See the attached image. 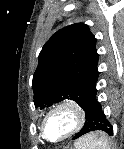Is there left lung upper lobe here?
Returning a JSON list of instances; mask_svg holds the SVG:
<instances>
[{
	"instance_id": "5c2ea615",
	"label": "left lung upper lobe",
	"mask_w": 124,
	"mask_h": 149,
	"mask_svg": "<svg viewBox=\"0 0 124 149\" xmlns=\"http://www.w3.org/2000/svg\"><path fill=\"white\" fill-rule=\"evenodd\" d=\"M96 38L89 27L76 23L54 33L39 54L33 76L35 107L44 109L64 99L74 100L87 114L96 93Z\"/></svg>"
}]
</instances>
